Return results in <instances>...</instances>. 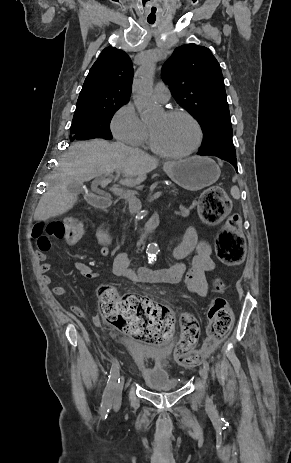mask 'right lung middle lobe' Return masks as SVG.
I'll use <instances>...</instances> for the list:
<instances>
[{
  "label": "right lung middle lobe",
  "mask_w": 291,
  "mask_h": 463,
  "mask_svg": "<svg viewBox=\"0 0 291 463\" xmlns=\"http://www.w3.org/2000/svg\"><path fill=\"white\" fill-rule=\"evenodd\" d=\"M123 104L125 102L107 101L97 110L74 116L70 140L111 139L110 121Z\"/></svg>",
  "instance_id": "dd1d6c3e"
}]
</instances>
